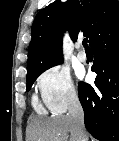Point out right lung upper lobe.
<instances>
[{
	"mask_svg": "<svg viewBox=\"0 0 119 141\" xmlns=\"http://www.w3.org/2000/svg\"><path fill=\"white\" fill-rule=\"evenodd\" d=\"M119 15L117 0H56L40 10L31 29L27 75L61 64L63 33L75 41L83 31L91 44L99 29Z\"/></svg>",
	"mask_w": 119,
	"mask_h": 141,
	"instance_id": "right-lung-upper-lobe-1",
	"label": "right lung upper lobe"
}]
</instances>
